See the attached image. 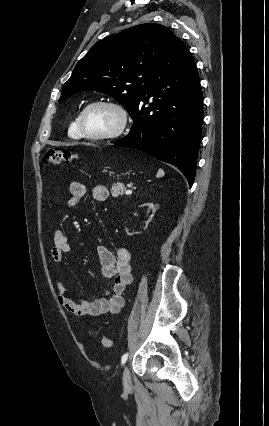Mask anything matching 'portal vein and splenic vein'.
<instances>
[{
  "label": "portal vein and splenic vein",
  "mask_w": 269,
  "mask_h": 426,
  "mask_svg": "<svg viewBox=\"0 0 269 426\" xmlns=\"http://www.w3.org/2000/svg\"><path fill=\"white\" fill-rule=\"evenodd\" d=\"M131 193H132V191H131V190H126V191H125V194H126V195H129V194H131Z\"/></svg>",
  "instance_id": "18ae733b"
}]
</instances>
